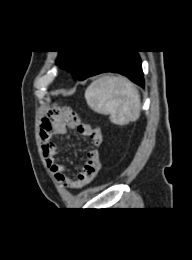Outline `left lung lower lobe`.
I'll return each mask as SVG.
<instances>
[{"label":"left lung lower lobe","instance_id":"1","mask_svg":"<svg viewBox=\"0 0 192 260\" xmlns=\"http://www.w3.org/2000/svg\"><path fill=\"white\" fill-rule=\"evenodd\" d=\"M116 72L127 76L131 81L144 87L141 60L136 51L100 50L90 61L81 80L103 73Z\"/></svg>","mask_w":192,"mask_h":260}]
</instances>
